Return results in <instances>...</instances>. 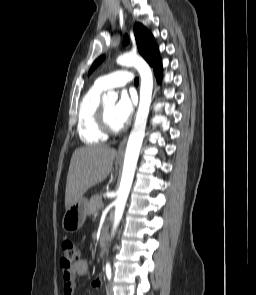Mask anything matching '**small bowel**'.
<instances>
[{"instance_id":"small-bowel-1","label":"small bowel","mask_w":256,"mask_h":295,"mask_svg":"<svg viewBox=\"0 0 256 295\" xmlns=\"http://www.w3.org/2000/svg\"><path fill=\"white\" fill-rule=\"evenodd\" d=\"M88 272V263L85 259H78L72 267L69 269H63L62 271V284L64 289V295H74L76 288V277L85 276ZM94 289H101L103 287V281L101 278H96L92 282Z\"/></svg>"}]
</instances>
